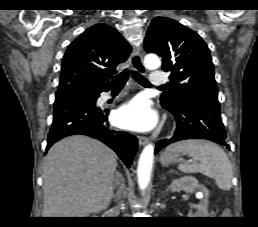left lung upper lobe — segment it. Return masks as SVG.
Instances as JSON below:
<instances>
[{
	"label": "left lung upper lobe",
	"instance_id": "obj_1",
	"mask_svg": "<svg viewBox=\"0 0 258 227\" xmlns=\"http://www.w3.org/2000/svg\"><path fill=\"white\" fill-rule=\"evenodd\" d=\"M144 49L161 56L162 69L170 72L171 85L161 95L162 105L177 107L197 96L218 98L210 51L193 30L171 18L156 17L146 33Z\"/></svg>",
	"mask_w": 258,
	"mask_h": 227
}]
</instances>
